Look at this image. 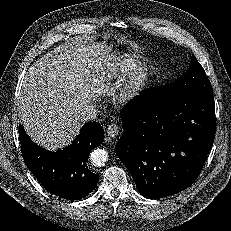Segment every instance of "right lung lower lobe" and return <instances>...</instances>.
Masks as SVG:
<instances>
[{
	"instance_id": "obj_1",
	"label": "right lung lower lobe",
	"mask_w": 231,
	"mask_h": 231,
	"mask_svg": "<svg viewBox=\"0 0 231 231\" xmlns=\"http://www.w3.org/2000/svg\"><path fill=\"white\" fill-rule=\"evenodd\" d=\"M19 140L26 166L49 192L65 199H82L92 192L99 174L87 166L90 150L104 140V130L98 122H88L72 144L57 152L36 145L19 125Z\"/></svg>"
}]
</instances>
